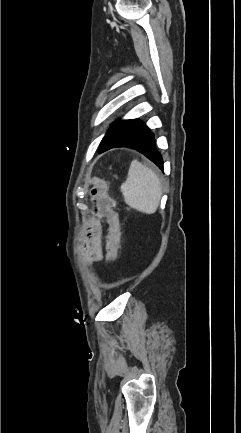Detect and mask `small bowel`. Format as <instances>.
I'll return each instance as SVG.
<instances>
[{
    "mask_svg": "<svg viewBox=\"0 0 241 433\" xmlns=\"http://www.w3.org/2000/svg\"><path fill=\"white\" fill-rule=\"evenodd\" d=\"M104 250L103 224L99 220L90 219L82 245L83 257L89 263L99 262L104 258Z\"/></svg>",
    "mask_w": 241,
    "mask_h": 433,
    "instance_id": "small-bowel-1",
    "label": "small bowel"
}]
</instances>
